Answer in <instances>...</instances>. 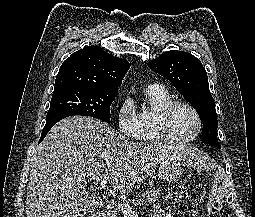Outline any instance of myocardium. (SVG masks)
<instances>
[{"label":"myocardium","instance_id":"myocardium-1","mask_svg":"<svg viewBox=\"0 0 255 217\" xmlns=\"http://www.w3.org/2000/svg\"><path fill=\"white\" fill-rule=\"evenodd\" d=\"M178 105H183L188 107L194 113L197 119V128L195 132L189 137H177L170 130L169 116L171 111ZM157 125H158V130L161 136L165 140L176 142V143H187L196 139L197 136L200 134L203 127V120H202L200 112L192 103L186 100L178 99V100L169 101L159 110L158 116H157Z\"/></svg>","mask_w":255,"mask_h":217}]
</instances>
